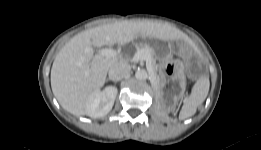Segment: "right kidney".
<instances>
[{"instance_id":"ca27d5eb","label":"right kidney","mask_w":261,"mask_h":150,"mask_svg":"<svg viewBox=\"0 0 261 150\" xmlns=\"http://www.w3.org/2000/svg\"><path fill=\"white\" fill-rule=\"evenodd\" d=\"M117 92V88L113 86L96 92L88 105L87 115L92 118H102L107 115L114 105Z\"/></svg>"}]
</instances>
